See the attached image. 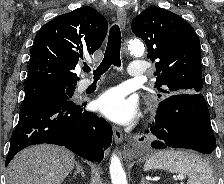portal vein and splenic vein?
I'll use <instances>...</instances> for the list:
<instances>
[{
  "mask_svg": "<svg viewBox=\"0 0 224 184\" xmlns=\"http://www.w3.org/2000/svg\"><path fill=\"white\" fill-rule=\"evenodd\" d=\"M180 181L184 180V176L183 175H178L177 177Z\"/></svg>",
  "mask_w": 224,
  "mask_h": 184,
  "instance_id": "obj_1",
  "label": "portal vein and splenic vein"
}]
</instances>
